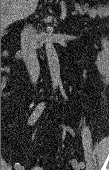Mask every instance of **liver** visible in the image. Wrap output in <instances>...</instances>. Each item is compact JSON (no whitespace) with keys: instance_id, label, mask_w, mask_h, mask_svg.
Segmentation results:
<instances>
[{"instance_id":"6515ba94","label":"liver","mask_w":109,"mask_h":170,"mask_svg":"<svg viewBox=\"0 0 109 170\" xmlns=\"http://www.w3.org/2000/svg\"><path fill=\"white\" fill-rule=\"evenodd\" d=\"M39 0H1V27L7 28L13 22L23 19L37 8ZM4 11V12H3Z\"/></svg>"}]
</instances>
